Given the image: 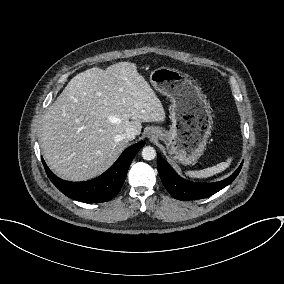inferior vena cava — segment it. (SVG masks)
I'll list each match as a JSON object with an SVG mask.
<instances>
[{
  "mask_svg": "<svg viewBox=\"0 0 284 284\" xmlns=\"http://www.w3.org/2000/svg\"><path fill=\"white\" fill-rule=\"evenodd\" d=\"M137 132L134 128H127L123 134V138L127 141L135 139Z\"/></svg>",
  "mask_w": 284,
  "mask_h": 284,
  "instance_id": "obj_1",
  "label": "inferior vena cava"
}]
</instances>
